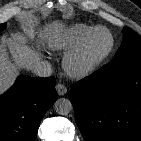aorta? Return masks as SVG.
Instances as JSON below:
<instances>
[{
  "instance_id": "aorta-1",
  "label": "aorta",
  "mask_w": 141,
  "mask_h": 141,
  "mask_svg": "<svg viewBox=\"0 0 141 141\" xmlns=\"http://www.w3.org/2000/svg\"><path fill=\"white\" fill-rule=\"evenodd\" d=\"M55 111L60 115L68 114L72 109L73 106L71 101L67 98H59L54 103Z\"/></svg>"
}]
</instances>
